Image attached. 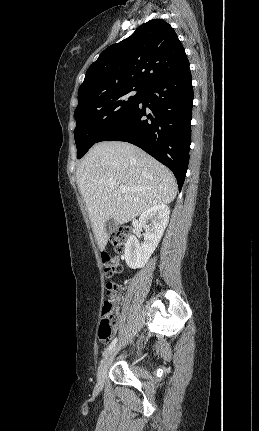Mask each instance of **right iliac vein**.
Returning a JSON list of instances; mask_svg holds the SVG:
<instances>
[{"mask_svg":"<svg viewBox=\"0 0 259 431\" xmlns=\"http://www.w3.org/2000/svg\"><path fill=\"white\" fill-rule=\"evenodd\" d=\"M119 351V346L115 347L114 349H112L108 355L105 357V359L102 361L99 370H98V375H97V381L99 385H103L108 368L110 367L115 355L118 353Z\"/></svg>","mask_w":259,"mask_h":431,"instance_id":"right-iliac-vein-1","label":"right iliac vein"}]
</instances>
